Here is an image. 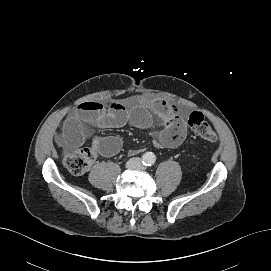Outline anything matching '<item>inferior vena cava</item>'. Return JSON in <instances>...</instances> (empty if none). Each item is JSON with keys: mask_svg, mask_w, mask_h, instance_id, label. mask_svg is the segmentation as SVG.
<instances>
[{"mask_svg": "<svg viewBox=\"0 0 271 271\" xmlns=\"http://www.w3.org/2000/svg\"><path fill=\"white\" fill-rule=\"evenodd\" d=\"M128 167L132 169L141 167V160L139 158H132L128 161Z\"/></svg>", "mask_w": 271, "mask_h": 271, "instance_id": "602c4592", "label": "inferior vena cava"}]
</instances>
